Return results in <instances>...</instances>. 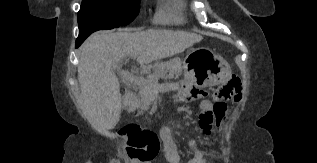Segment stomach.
<instances>
[{"mask_svg":"<svg viewBox=\"0 0 317 163\" xmlns=\"http://www.w3.org/2000/svg\"><path fill=\"white\" fill-rule=\"evenodd\" d=\"M206 57L202 67H192L184 65L185 77L196 82L199 81L203 86H214L225 82L230 74L229 64L219 55L209 49H205Z\"/></svg>","mask_w":317,"mask_h":163,"instance_id":"obj_1","label":"stomach"}]
</instances>
